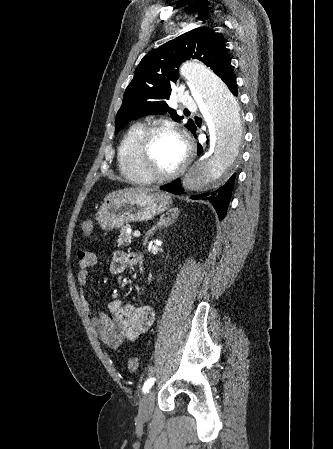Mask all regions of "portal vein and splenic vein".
<instances>
[{"label": "portal vein and splenic vein", "mask_w": 333, "mask_h": 449, "mask_svg": "<svg viewBox=\"0 0 333 449\" xmlns=\"http://www.w3.org/2000/svg\"><path fill=\"white\" fill-rule=\"evenodd\" d=\"M133 236L136 237V238L140 237V232L139 231H135L133 233Z\"/></svg>", "instance_id": "portal-vein-and-splenic-vein-1"}]
</instances>
